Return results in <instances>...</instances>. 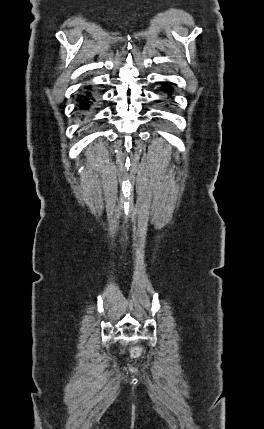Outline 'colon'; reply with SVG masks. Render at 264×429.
<instances>
[{"mask_svg": "<svg viewBox=\"0 0 264 429\" xmlns=\"http://www.w3.org/2000/svg\"><path fill=\"white\" fill-rule=\"evenodd\" d=\"M141 350L139 348H134L131 353L134 356H138L140 354Z\"/></svg>", "mask_w": 264, "mask_h": 429, "instance_id": "obj_1", "label": "colon"}]
</instances>
